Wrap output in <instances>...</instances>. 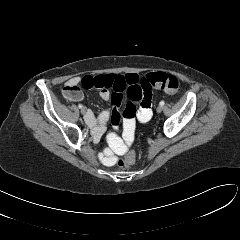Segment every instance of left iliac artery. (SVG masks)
Returning <instances> with one entry per match:
<instances>
[{
	"instance_id": "obj_1",
	"label": "left iliac artery",
	"mask_w": 240,
	"mask_h": 240,
	"mask_svg": "<svg viewBox=\"0 0 240 240\" xmlns=\"http://www.w3.org/2000/svg\"><path fill=\"white\" fill-rule=\"evenodd\" d=\"M164 104H165V102L163 100L160 101V103H159L160 106H163Z\"/></svg>"
}]
</instances>
